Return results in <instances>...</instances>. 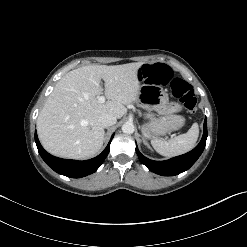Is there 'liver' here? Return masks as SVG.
Returning a JSON list of instances; mask_svg holds the SVG:
<instances>
[{
    "mask_svg": "<svg viewBox=\"0 0 247 247\" xmlns=\"http://www.w3.org/2000/svg\"><path fill=\"white\" fill-rule=\"evenodd\" d=\"M142 63L89 65L68 72L58 81L37 119L42 146L51 154L71 159L96 155L104 141L98 122L103 113L120 119L126 105L139 96L138 69ZM104 81L107 101L99 103Z\"/></svg>",
    "mask_w": 247,
    "mask_h": 247,
    "instance_id": "6515ba94",
    "label": "liver"
}]
</instances>
